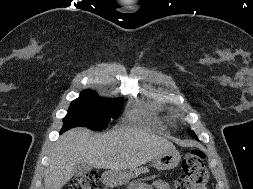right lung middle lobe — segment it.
Returning a JSON list of instances; mask_svg holds the SVG:
<instances>
[{"label": "right lung middle lobe", "mask_w": 253, "mask_h": 189, "mask_svg": "<svg viewBox=\"0 0 253 189\" xmlns=\"http://www.w3.org/2000/svg\"><path fill=\"white\" fill-rule=\"evenodd\" d=\"M121 99H105L95 93H82L74 100L63 119L61 133L78 126L92 130H102L108 126L111 119L118 117L123 109Z\"/></svg>", "instance_id": "right-lung-middle-lobe-1"}]
</instances>
